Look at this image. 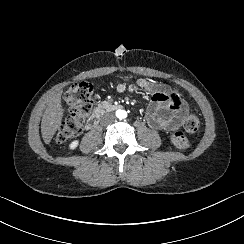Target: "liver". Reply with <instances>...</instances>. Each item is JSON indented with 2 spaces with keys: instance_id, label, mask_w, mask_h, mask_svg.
Returning <instances> with one entry per match:
<instances>
[{
  "instance_id": "6515ba94",
  "label": "liver",
  "mask_w": 244,
  "mask_h": 244,
  "mask_svg": "<svg viewBox=\"0 0 244 244\" xmlns=\"http://www.w3.org/2000/svg\"><path fill=\"white\" fill-rule=\"evenodd\" d=\"M64 117L61 92L54 94L42 118L41 132L46 144H50Z\"/></svg>"
}]
</instances>
